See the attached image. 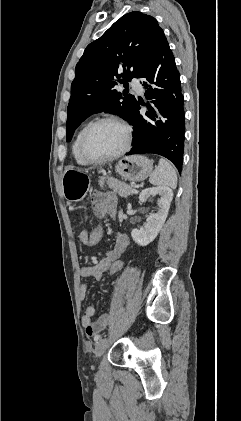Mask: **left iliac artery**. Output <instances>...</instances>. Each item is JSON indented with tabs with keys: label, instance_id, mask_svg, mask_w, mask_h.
<instances>
[{
	"label": "left iliac artery",
	"instance_id": "44dca946",
	"mask_svg": "<svg viewBox=\"0 0 241 421\" xmlns=\"http://www.w3.org/2000/svg\"><path fill=\"white\" fill-rule=\"evenodd\" d=\"M101 337L99 336V335H97L96 337H95V340L97 341V340H99Z\"/></svg>",
	"mask_w": 241,
	"mask_h": 421
}]
</instances>
